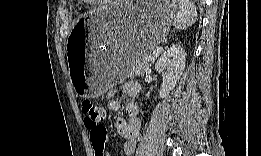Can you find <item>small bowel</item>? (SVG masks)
Returning a JSON list of instances; mask_svg holds the SVG:
<instances>
[{
    "label": "small bowel",
    "mask_w": 261,
    "mask_h": 156,
    "mask_svg": "<svg viewBox=\"0 0 261 156\" xmlns=\"http://www.w3.org/2000/svg\"><path fill=\"white\" fill-rule=\"evenodd\" d=\"M140 92V85L135 81H129L123 86V94L132 98ZM107 106L111 111H119L122 107L121 101L110 97L107 101ZM127 117H118L115 122L117 132L123 136L126 141L123 146V152L126 156H131L135 153L137 140L140 133L141 123L138 117L137 105L130 101L125 107ZM107 139V138H106ZM108 151L103 148L99 156H107Z\"/></svg>",
    "instance_id": "small-bowel-1"
}]
</instances>
